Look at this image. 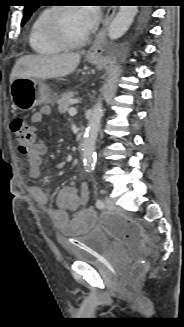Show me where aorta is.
Segmentation results:
<instances>
[{"label": "aorta", "instance_id": "obj_1", "mask_svg": "<svg viewBox=\"0 0 184 327\" xmlns=\"http://www.w3.org/2000/svg\"><path fill=\"white\" fill-rule=\"evenodd\" d=\"M137 12V6H120L117 15L108 27V37L116 40L123 36L132 24ZM102 116V103L99 100L93 108L83 143V157L87 169H93L95 165V144Z\"/></svg>", "mask_w": 184, "mask_h": 327}]
</instances>
